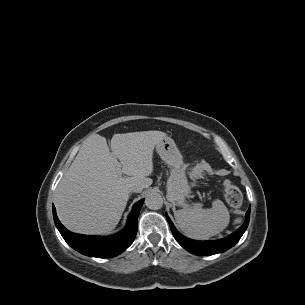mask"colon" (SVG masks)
Here are the masks:
<instances>
[{"mask_svg":"<svg viewBox=\"0 0 305 305\" xmlns=\"http://www.w3.org/2000/svg\"><path fill=\"white\" fill-rule=\"evenodd\" d=\"M223 193L226 202L231 207H238L242 203V194L237 186H235L230 180H225L223 183Z\"/></svg>","mask_w":305,"mask_h":305,"instance_id":"1","label":"colon"}]
</instances>
